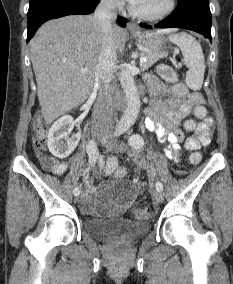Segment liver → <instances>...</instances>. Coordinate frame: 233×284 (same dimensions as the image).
<instances>
[{"instance_id":"liver-1","label":"liver","mask_w":233,"mask_h":284,"mask_svg":"<svg viewBox=\"0 0 233 284\" xmlns=\"http://www.w3.org/2000/svg\"><path fill=\"white\" fill-rule=\"evenodd\" d=\"M114 49L122 53L126 32L112 26ZM103 33L91 15H71L44 23L31 40V61L42 115L47 124L89 97L102 50ZM87 68L86 73L82 69Z\"/></svg>"}]
</instances>
